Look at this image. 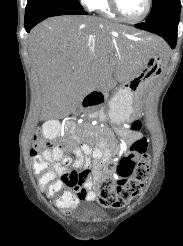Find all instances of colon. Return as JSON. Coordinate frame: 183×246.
<instances>
[{
    "instance_id": "5ec220e1",
    "label": "colon",
    "mask_w": 183,
    "mask_h": 246,
    "mask_svg": "<svg viewBox=\"0 0 183 246\" xmlns=\"http://www.w3.org/2000/svg\"><path fill=\"white\" fill-rule=\"evenodd\" d=\"M131 128L137 130L139 123L134 122ZM49 148L50 143L45 138V133L39 130L34 137L31 154L34 160V169L40 180L44 179L46 191L50 187L54 188L56 181V176L49 170L48 161L43 157V153ZM130 150L132 154L122 156L117 162L109 163L104 175L97 181V200L100 205L113 209L123 208L144 189L150 169L147 140L138 139L132 144ZM59 179L65 185L73 184L78 180V178Z\"/></svg>"
}]
</instances>
